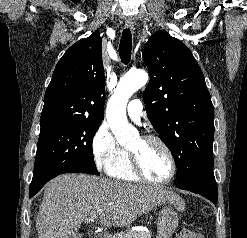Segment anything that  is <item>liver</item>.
Returning <instances> with one entry per match:
<instances>
[{
    "instance_id": "1",
    "label": "liver",
    "mask_w": 247,
    "mask_h": 238,
    "mask_svg": "<svg viewBox=\"0 0 247 238\" xmlns=\"http://www.w3.org/2000/svg\"><path fill=\"white\" fill-rule=\"evenodd\" d=\"M181 206V198L158 186L114 181L87 174H64L46 184L36 219L39 238H80L83 221L106 227L128 226L160 204Z\"/></svg>"
}]
</instances>
